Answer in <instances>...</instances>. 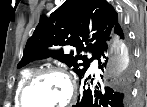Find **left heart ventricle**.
<instances>
[{"label":"left heart ventricle","instance_id":"1","mask_svg":"<svg viewBox=\"0 0 147 107\" xmlns=\"http://www.w3.org/2000/svg\"><path fill=\"white\" fill-rule=\"evenodd\" d=\"M69 95V86L64 78L47 74L38 78L26 94L30 107H56L63 104Z\"/></svg>","mask_w":147,"mask_h":107}]
</instances>
